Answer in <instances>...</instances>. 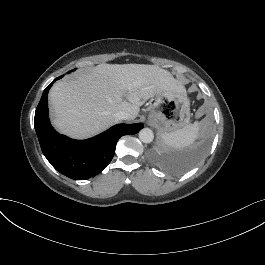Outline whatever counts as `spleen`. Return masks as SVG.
Listing matches in <instances>:
<instances>
[{"label": "spleen", "instance_id": "obj_1", "mask_svg": "<svg viewBox=\"0 0 265 265\" xmlns=\"http://www.w3.org/2000/svg\"><path fill=\"white\" fill-rule=\"evenodd\" d=\"M199 123L195 121L193 124H188L181 129L170 133H161L160 136L163 143L171 149L183 150L190 147L198 138Z\"/></svg>", "mask_w": 265, "mask_h": 265}]
</instances>
